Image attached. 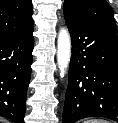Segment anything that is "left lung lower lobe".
<instances>
[{
  "label": "left lung lower lobe",
  "mask_w": 118,
  "mask_h": 123,
  "mask_svg": "<svg viewBox=\"0 0 118 123\" xmlns=\"http://www.w3.org/2000/svg\"><path fill=\"white\" fill-rule=\"evenodd\" d=\"M72 55L62 123L86 117L118 122V35L66 20Z\"/></svg>",
  "instance_id": "1"
}]
</instances>
